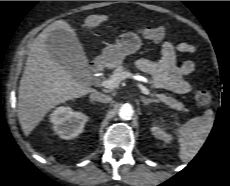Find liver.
<instances>
[{"label": "liver", "mask_w": 230, "mask_h": 186, "mask_svg": "<svg viewBox=\"0 0 230 186\" xmlns=\"http://www.w3.org/2000/svg\"><path fill=\"white\" fill-rule=\"evenodd\" d=\"M108 19L106 15H89L84 20V26L88 29L96 28ZM57 29L65 30L76 37L74 29L67 21L58 20L47 26L30 45L20 80L17 106L19 123L26 136L56 105L96 92L74 79L48 51L47 38Z\"/></svg>", "instance_id": "liver-1"}]
</instances>
